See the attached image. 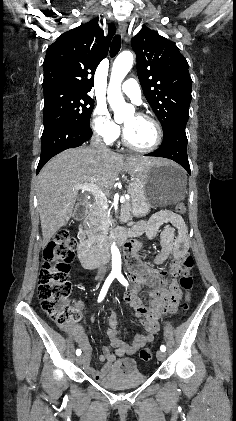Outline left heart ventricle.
<instances>
[{"label":"left heart ventricle","instance_id":"obj_1","mask_svg":"<svg viewBox=\"0 0 236 421\" xmlns=\"http://www.w3.org/2000/svg\"><path fill=\"white\" fill-rule=\"evenodd\" d=\"M124 129L128 140L139 147H149L155 140V129L146 119L132 113L124 120Z\"/></svg>","mask_w":236,"mask_h":421}]
</instances>
